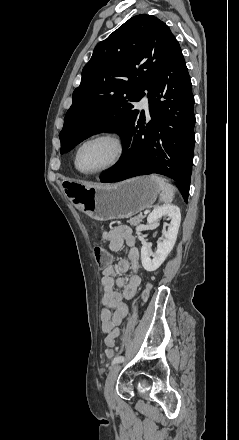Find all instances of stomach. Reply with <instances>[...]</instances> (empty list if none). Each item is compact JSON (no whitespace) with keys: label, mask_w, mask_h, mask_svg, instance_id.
Wrapping results in <instances>:
<instances>
[{"label":"stomach","mask_w":239,"mask_h":440,"mask_svg":"<svg viewBox=\"0 0 239 440\" xmlns=\"http://www.w3.org/2000/svg\"><path fill=\"white\" fill-rule=\"evenodd\" d=\"M71 200L76 208L92 220H120L130 218L150 208L161 190L151 176L131 178L111 186H83L72 182Z\"/></svg>","instance_id":"obj_1"}]
</instances>
